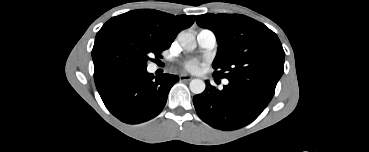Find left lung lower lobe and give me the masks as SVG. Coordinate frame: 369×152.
Instances as JSON below:
<instances>
[{
	"label": "left lung lower lobe",
	"mask_w": 369,
	"mask_h": 152,
	"mask_svg": "<svg viewBox=\"0 0 369 152\" xmlns=\"http://www.w3.org/2000/svg\"><path fill=\"white\" fill-rule=\"evenodd\" d=\"M274 85L229 80L219 91L208 81L202 94L193 98L198 116L210 126L229 131L254 121L271 101Z\"/></svg>",
	"instance_id": "1"
}]
</instances>
